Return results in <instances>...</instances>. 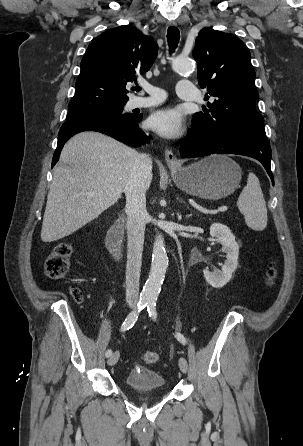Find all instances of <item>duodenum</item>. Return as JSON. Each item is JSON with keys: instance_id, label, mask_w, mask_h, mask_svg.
<instances>
[{"instance_id": "duodenum-1", "label": "duodenum", "mask_w": 303, "mask_h": 446, "mask_svg": "<svg viewBox=\"0 0 303 446\" xmlns=\"http://www.w3.org/2000/svg\"><path fill=\"white\" fill-rule=\"evenodd\" d=\"M124 219H118L109 230L106 237V246L110 253L119 258L121 255V244L123 237Z\"/></svg>"}]
</instances>
